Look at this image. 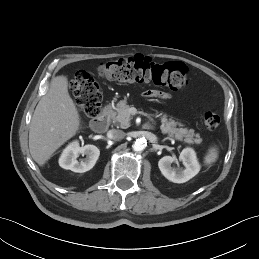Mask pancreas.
Instances as JSON below:
<instances>
[{"instance_id":"obj_1","label":"pancreas","mask_w":259,"mask_h":259,"mask_svg":"<svg viewBox=\"0 0 259 259\" xmlns=\"http://www.w3.org/2000/svg\"><path fill=\"white\" fill-rule=\"evenodd\" d=\"M130 106L126 100H121L117 103L116 111L110 112V116L114 122H118L121 128H128L130 126L131 114L129 112ZM161 119V131L167 134L169 138H174L188 144H200L202 139L200 134L195 133L193 129L182 128L183 124L168 118L166 114L158 115ZM179 126V128L177 127Z\"/></svg>"}]
</instances>
